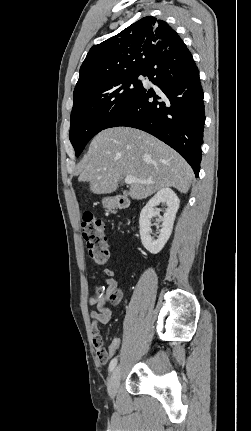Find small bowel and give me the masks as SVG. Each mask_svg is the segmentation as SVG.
Wrapping results in <instances>:
<instances>
[{
    "instance_id": "small-bowel-1",
    "label": "small bowel",
    "mask_w": 251,
    "mask_h": 431,
    "mask_svg": "<svg viewBox=\"0 0 251 431\" xmlns=\"http://www.w3.org/2000/svg\"><path fill=\"white\" fill-rule=\"evenodd\" d=\"M103 273L105 276L104 281L107 285L106 294L92 295L89 297V304L96 306V309L90 313L91 332L93 345L96 349L95 357L98 359V366L101 369H104L108 365L109 358L108 348H103V339L99 333V325L107 324L110 321L112 311L108 306V303L111 301V296L115 294L118 287L116 273L113 269L106 268ZM90 278L94 283L99 284V281L95 276L91 275Z\"/></svg>"
}]
</instances>
